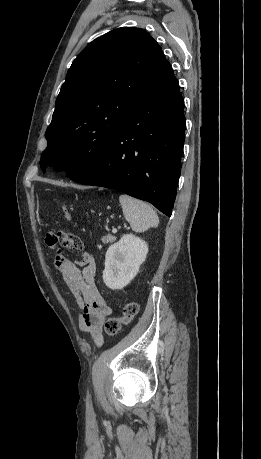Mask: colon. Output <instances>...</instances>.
I'll use <instances>...</instances> for the list:
<instances>
[{
    "label": "colon",
    "instance_id": "1",
    "mask_svg": "<svg viewBox=\"0 0 261 459\" xmlns=\"http://www.w3.org/2000/svg\"><path fill=\"white\" fill-rule=\"evenodd\" d=\"M64 219H70V213L66 206L61 207ZM138 313V304L128 302L124 305L122 315L119 317L109 318L104 325L105 332L108 336H115L121 330L123 325L130 323Z\"/></svg>",
    "mask_w": 261,
    "mask_h": 459
}]
</instances>
